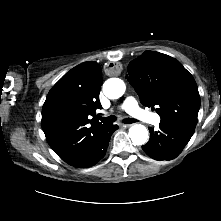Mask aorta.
<instances>
[{
	"label": "aorta",
	"instance_id": "762f6f07",
	"mask_svg": "<svg viewBox=\"0 0 221 221\" xmlns=\"http://www.w3.org/2000/svg\"><path fill=\"white\" fill-rule=\"evenodd\" d=\"M125 83L119 78H110L103 84V93L109 99L120 98L125 92ZM129 136L135 145H143L148 140V130L144 125L135 124L129 129Z\"/></svg>",
	"mask_w": 221,
	"mask_h": 221
}]
</instances>
